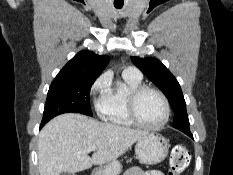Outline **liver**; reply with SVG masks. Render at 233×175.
Masks as SVG:
<instances>
[{
    "label": "liver",
    "mask_w": 233,
    "mask_h": 175,
    "mask_svg": "<svg viewBox=\"0 0 233 175\" xmlns=\"http://www.w3.org/2000/svg\"><path fill=\"white\" fill-rule=\"evenodd\" d=\"M148 132L102 123L82 114L67 113L48 122L38 138L40 175L76 173L122 156ZM95 146L92 157L87 149Z\"/></svg>",
    "instance_id": "6515ba94"
}]
</instances>
